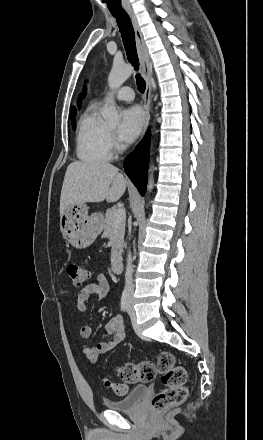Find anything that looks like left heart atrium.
<instances>
[{
	"label": "left heart atrium",
	"mask_w": 263,
	"mask_h": 440,
	"mask_svg": "<svg viewBox=\"0 0 263 440\" xmlns=\"http://www.w3.org/2000/svg\"><path fill=\"white\" fill-rule=\"evenodd\" d=\"M145 122V114L138 106H131L122 113L119 136L124 142H132L141 133Z\"/></svg>",
	"instance_id": "obj_1"
}]
</instances>
